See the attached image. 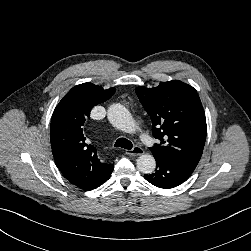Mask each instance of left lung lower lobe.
Masks as SVG:
<instances>
[{
  "label": "left lung lower lobe",
  "instance_id": "1",
  "mask_svg": "<svg viewBox=\"0 0 251 251\" xmlns=\"http://www.w3.org/2000/svg\"><path fill=\"white\" fill-rule=\"evenodd\" d=\"M156 160L154 173L144 175L145 179L159 188H174L185 182L193 173L194 169L162 155L153 154Z\"/></svg>",
  "mask_w": 251,
  "mask_h": 251
}]
</instances>
